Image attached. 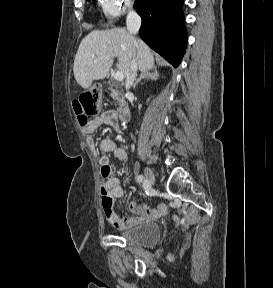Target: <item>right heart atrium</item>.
Listing matches in <instances>:
<instances>
[{"mask_svg":"<svg viewBox=\"0 0 273 288\" xmlns=\"http://www.w3.org/2000/svg\"><path fill=\"white\" fill-rule=\"evenodd\" d=\"M105 17L112 21L133 8V0H100Z\"/></svg>","mask_w":273,"mask_h":288,"instance_id":"right-heart-atrium-1","label":"right heart atrium"}]
</instances>
